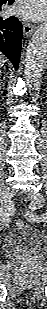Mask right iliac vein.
Here are the masks:
<instances>
[{
    "mask_svg": "<svg viewBox=\"0 0 47 309\" xmlns=\"http://www.w3.org/2000/svg\"><path fill=\"white\" fill-rule=\"evenodd\" d=\"M14 195V189L11 187H5L2 192H1V197H0V206H1V212L4 214V217L1 216V222L3 226H8L9 225V217H6V214H8L7 209H8V204L11 200V198Z\"/></svg>",
    "mask_w": 47,
    "mask_h": 309,
    "instance_id": "obj_1",
    "label": "right iliac vein"
}]
</instances>
